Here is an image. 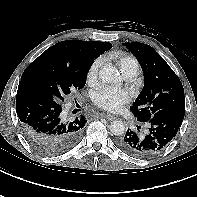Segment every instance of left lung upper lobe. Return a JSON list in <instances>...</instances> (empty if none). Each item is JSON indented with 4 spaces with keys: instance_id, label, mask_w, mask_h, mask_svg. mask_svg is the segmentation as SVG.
Here are the masks:
<instances>
[{
    "instance_id": "1",
    "label": "left lung upper lobe",
    "mask_w": 197,
    "mask_h": 197,
    "mask_svg": "<svg viewBox=\"0 0 197 197\" xmlns=\"http://www.w3.org/2000/svg\"><path fill=\"white\" fill-rule=\"evenodd\" d=\"M125 46L137 58L144 73V87L130 107L137 121L144 123L166 107L184 106L182 83L166 61L147 44L133 42Z\"/></svg>"
}]
</instances>
